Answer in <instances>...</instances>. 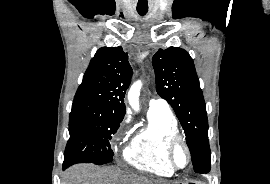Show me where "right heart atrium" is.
I'll return each instance as SVG.
<instances>
[{"instance_id":"right-heart-atrium-1","label":"right heart atrium","mask_w":270,"mask_h":184,"mask_svg":"<svg viewBox=\"0 0 270 184\" xmlns=\"http://www.w3.org/2000/svg\"><path fill=\"white\" fill-rule=\"evenodd\" d=\"M130 116L129 115H125V117L121 120V122L119 123L116 132L114 134V139H118L128 128V126L130 125Z\"/></svg>"}]
</instances>
